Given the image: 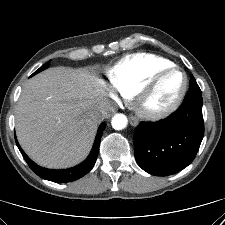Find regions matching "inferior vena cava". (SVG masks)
<instances>
[{"mask_svg": "<svg viewBox=\"0 0 225 225\" xmlns=\"http://www.w3.org/2000/svg\"><path fill=\"white\" fill-rule=\"evenodd\" d=\"M114 106L113 104L106 100L101 105L99 110L96 112L95 117L100 122L110 116V114L113 112Z\"/></svg>", "mask_w": 225, "mask_h": 225, "instance_id": "obj_1", "label": "inferior vena cava"}]
</instances>
